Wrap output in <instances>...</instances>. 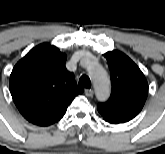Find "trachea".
<instances>
[{"label":"trachea","mask_w":165,"mask_h":154,"mask_svg":"<svg viewBox=\"0 0 165 154\" xmlns=\"http://www.w3.org/2000/svg\"><path fill=\"white\" fill-rule=\"evenodd\" d=\"M79 85L85 88H91V81L87 75H82L79 79Z\"/></svg>","instance_id":"trachea-1"}]
</instances>
